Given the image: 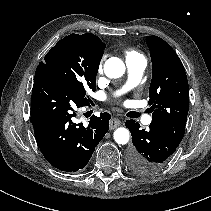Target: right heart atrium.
I'll return each mask as SVG.
<instances>
[{
  "mask_svg": "<svg viewBox=\"0 0 211 211\" xmlns=\"http://www.w3.org/2000/svg\"><path fill=\"white\" fill-rule=\"evenodd\" d=\"M101 71H102V63H100L98 66V73H101Z\"/></svg>",
  "mask_w": 211,
  "mask_h": 211,
  "instance_id": "1",
  "label": "right heart atrium"
}]
</instances>
